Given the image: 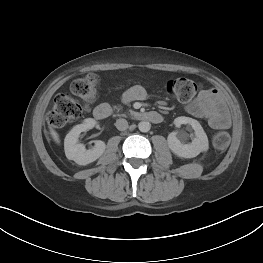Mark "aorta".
Returning <instances> with one entry per match:
<instances>
[{
    "instance_id": "762f6f07",
    "label": "aorta",
    "mask_w": 263,
    "mask_h": 263,
    "mask_svg": "<svg viewBox=\"0 0 263 263\" xmlns=\"http://www.w3.org/2000/svg\"><path fill=\"white\" fill-rule=\"evenodd\" d=\"M138 128L141 132H148L151 128V124L148 121H141L138 124Z\"/></svg>"
}]
</instances>
